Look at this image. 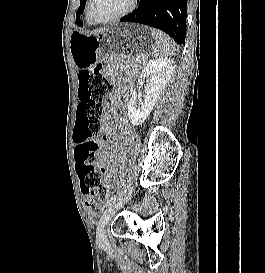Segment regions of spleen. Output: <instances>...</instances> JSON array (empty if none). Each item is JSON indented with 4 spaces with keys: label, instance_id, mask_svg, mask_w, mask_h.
<instances>
[{
    "label": "spleen",
    "instance_id": "3e777b00",
    "mask_svg": "<svg viewBox=\"0 0 265 273\" xmlns=\"http://www.w3.org/2000/svg\"><path fill=\"white\" fill-rule=\"evenodd\" d=\"M155 40L154 55L159 57H168L175 53L173 41L163 32L151 29Z\"/></svg>",
    "mask_w": 265,
    "mask_h": 273
}]
</instances>
